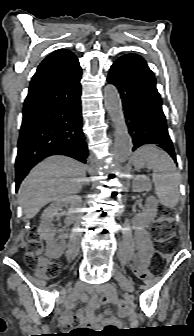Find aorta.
<instances>
[{"mask_svg": "<svg viewBox=\"0 0 194 336\" xmlns=\"http://www.w3.org/2000/svg\"><path fill=\"white\" fill-rule=\"evenodd\" d=\"M104 104L115 128V162L122 164L129 158L133 142L125 122L120 95L114 85L105 86Z\"/></svg>", "mask_w": 194, "mask_h": 336, "instance_id": "obj_1", "label": "aorta"}]
</instances>
